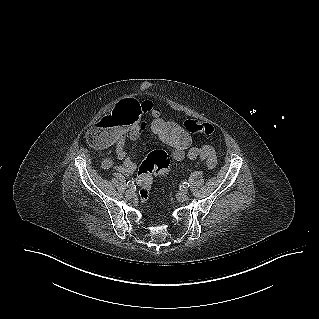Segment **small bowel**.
<instances>
[{"label":"small bowel","instance_id":"1","mask_svg":"<svg viewBox=\"0 0 319 319\" xmlns=\"http://www.w3.org/2000/svg\"><path fill=\"white\" fill-rule=\"evenodd\" d=\"M115 107L96 118V125L90 127L87 132V140L90 145L101 149H109L115 144V156L121 161L116 169L121 173L129 174L134 171L135 164L126 155L125 141L129 138L137 139L147 128V123L143 122V114L152 120L156 116H162L161 110L151 101L141 102L134 98L117 101ZM189 135L195 134L189 133ZM171 149L176 161H182L187 156L190 160L202 161L210 170L217 165L215 150L210 145L191 146L187 149L188 151ZM113 164V160L109 157L102 161L103 168H110Z\"/></svg>","mask_w":319,"mask_h":319}]
</instances>
